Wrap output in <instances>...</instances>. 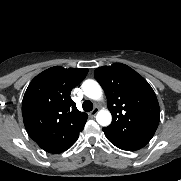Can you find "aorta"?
<instances>
[{"label": "aorta", "instance_id": "1", "mask_svg": "<svg viewBox=\"0 0 181 181\" xmlns=\"http://www.w3.org/2000/svg\"><path fill=\"white\" fill-rule=\"evenodd\" d=\"M84 94L93 100H100L102 98V89L100 85L94 80H86L82 84ZM98 124L108 126L111 123L112 116L108 110H100L96 116Z\"/></svg>", "mask_w": 181, "mask_h": 181}]
</instances>
